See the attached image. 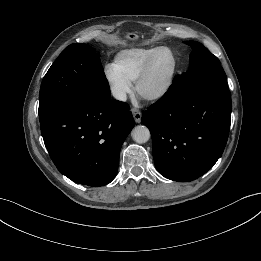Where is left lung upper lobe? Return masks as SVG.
<instances>
[{
	"mask_svg": "<svg viewBox=\"0 0 261 261\" xmlns=\"http://www.w3.org/2000/svg\"><path fill=\"white\" fill-rule=\"evenodd\" d=\"M193 51L189 59V69L182 75H177L172 84V91L179 97H186L198 84L212 79H226L225 72L218 58L201 43L185 41Z\"/></svg>",
	"mask_w": 261,
	"mask_h": 261,
	"instance_id": "1",
	"label": "left lung upper lobe"
}]
</instances>
